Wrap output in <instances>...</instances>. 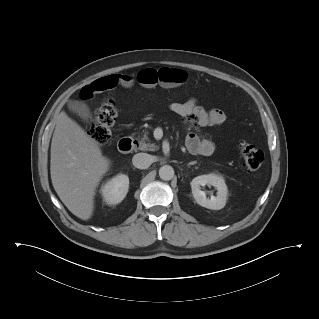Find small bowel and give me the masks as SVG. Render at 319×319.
Instances as JSON below:
<instances>
[{"mask_svg": "<svg viewBox=\"0 0 319 319\" xmlns=\"http://www.w3.org/2000/svg\"><path fill=\"white\" fill-rule=\"evenodd\" d=\"M185 80L186 74L183 70L171 68H147L137 76L139 84L146 88H152L156 85L171 88L184 83ZM133 85L134 79L129 75H107L86 85L81 90V95L88 99L95 93L104 92L116 86L130 88ZM170 110L182 117L186 123H192L199 127L221 125L226 120V115L222 110H207L199 105L195 98L185 102H174L170 105ZM185 145L190 153L201 156H210L215 150L212 141L201 139L193 132L187 135Z\"/></svg>", "mask_w": 319, "mask_h": 319, "instance_id": "c3829d8e", "label": "small bowel"}]
</instances>
